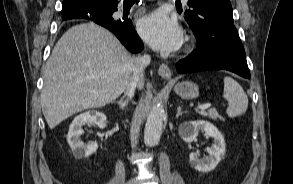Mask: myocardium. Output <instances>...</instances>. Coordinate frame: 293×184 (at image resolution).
Here are the masks:
<instances>
[{"label":"myocardium","instance_id":"1","mask_svg":"<svg viewBox=\"0 0 293 184\" xmlns=\"http://www.w3.org/2000/svg\"><path fill=\"white\" fill-rule=\"evenodd\" d=\"M192 50V46L191 45H187L186 49H185V53H190Z\"/></svg>","mask_w":293,"mask_h":184}]
</instances>
